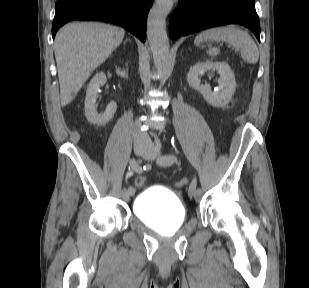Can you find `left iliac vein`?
<instances>
[{"instance_id":"obj_1","label":"left iliac vein","mask_w":309,"mask_h":288,"mask_svg":"<svg viewBox=\"0 0 309 288\" xmlns=\"http://www.w3.org/2000/svg\"><path fill=\"white\" fill-rule=\"evenodd\" d=\"M158 151L157 148L155 147H150L148 149V154L146 156H144L145 159H148V160H154L156 159L157 157V154H158ZM198 190V192H196ZM195 191V194L193 193V191H189V196L190 197H193L194 196V199L195 200H199L201 198V194H202V190L201 189H197Z\"/></svg>"}]
</instances>
